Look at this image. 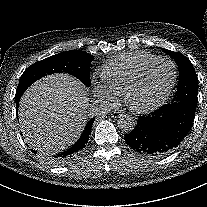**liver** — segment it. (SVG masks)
<instances>
[{
	"instance_id": "1",
	"label": "liver",
	"mask_w": 207,
	"mask_h": 207,
	"mask_svg": "<svg viewBox=\"0 0 207 207\" xmlns=\"http://www.w3.org/2000/svg\"><path fill=\"white\" fill-rule=\"evenodd\" d=\"M88 110V94L76 78L49 75L24 93L19 124L31 147L44 152L63 151L79 137Z\"/></svg>"
}]
</instances>
